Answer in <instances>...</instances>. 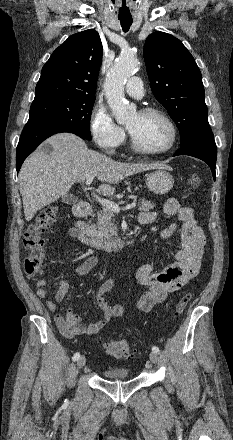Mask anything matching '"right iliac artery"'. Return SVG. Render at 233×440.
<instances>
[{
	"label": "right iliac artery",
	"mask_w": 233,
	"mask_h": 440,
	"mask_svg": "<svg viewBox=\"0 0 233 440\" xmlns=\"http://www.w3.org/2000/svg\"><path fill=\"white\" fill-rule=\"evenodd\" d=\"M79 357H80V353H78V352H76L74 355H73V361H77L78 359H79Z\"/></svg>",
	"instance_id": "82829eb1"
}]
</instances>
